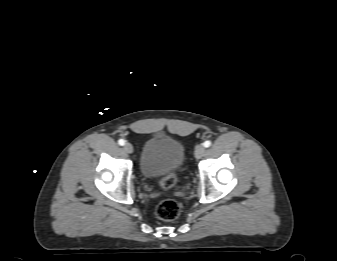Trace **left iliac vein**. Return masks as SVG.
<instances>
[{"mask_svg":"<svg viewBox=\"0 0 337 261\" xmlns=\"http://www.w3.org/2000/svg\"><path fill=\"white\" fill-rule=\"evenodd\" d=\"M205 151H206V149L204 148L203 145H198V146L195 148V152H194L195 157H196L197 159L201 158V157L205 154Z\"/></svg>","mask_w":337,"mask_h":261,"instance_id":"left-iliac-vein-1","label":"left iliac vein"}]
</instances>
